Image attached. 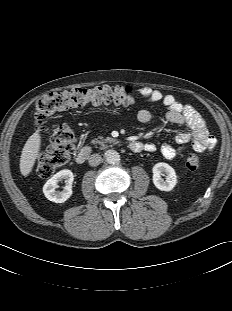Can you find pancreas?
I'll use <instances>...</instances> for the list:
<instances>
[{"instance_id": "1", "label": "pancreas", "mask_w": 232, "mask_h": 311, "mask_svg": "<svg viewBox=\"0 0 232 311\" xmlns=\"http://www.w3.org/2000/svg\"><path fill=\"white\" fill-rule=\"evenodd\" d=\"M107 142L115 143L116 140L113 139V138H110V137H107L106 139H103V137H101V136L92 140L93 144H100V145H104V143H107Z\"/></svg>"}]
</instances>
